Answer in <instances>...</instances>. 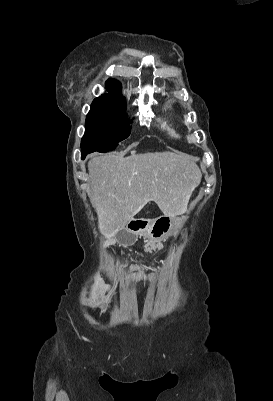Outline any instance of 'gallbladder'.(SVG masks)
<instances>
[{
	"label": "gallbladder",
	"mask_w": 273,
	"mask_h": 401,
	"mask_svg": "<svg viewBox=\"0 0 273 401\" xmlns=\"http://www.w3.org/2000/svg\"><path fill=\"white\" fill-rule=\"evenodd\" d=\"M119 233H117L116 237L119 241V243H123L124 246H135L136 245V237H137V232L136 231H127L125 227H120L119 228ZM126 237V238H125Z\"/></svg>",
	"instance_id": "bac80fb5"
}]
</instances>
